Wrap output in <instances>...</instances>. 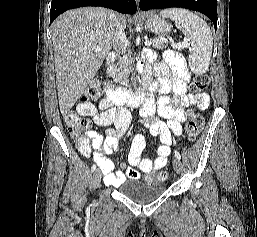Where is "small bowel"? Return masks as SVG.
Returning a JSON list of instances; mask_svg holds the SVG:
<instances>
[{
    "instance_id": "1",
    "label": "small bowel",
    "mask_w": 257,
    "mask_h": 237,
    "mask_svg": "<svg viewBox=\"0 0 257 237\" xmlns=\"http://www.w3.org/2000/svg\"><path fill=\"white\" fill-rule=\"evenodd\" d=\"M148 62L151 58H147ZM149 75L153 71L147 63ZM169 70L173 75L169 74ZM157 80L150 85V95L140 107V115L149 133L159 137L161 145L155 158H142L145 149V138L141 134L134 136L128 155V162L122 164L121 171H114V163L107 157L116 151L120 144V137L128 129L131 121L130 110L122 105H115L107 97L100 100L97 106L87 101L77 104V111L81 116L90 117L94 124L101 127L114 126L106 130V137L95 131H89L86 138L77 142L79 152L86 156H93L104 181L109 186H119L127 178L136 179L141 173L166 166L170 154V146L174 138L182 133V123L186 121L191 109H206L210 98L206 93L192 94L187 92L190 74L181 56L174 51H167L164 63L154 68ZM159 93L155 98L154 94Z\"/></svg>"
}]
</instances>
